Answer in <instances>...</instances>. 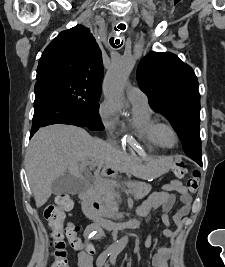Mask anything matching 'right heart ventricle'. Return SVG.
<instances>
[{
	"label": "right heart ventricle",
	"mask_w": 225,
	"mask_h": 267,
	"mask_svg": "<svg viewBox=\"0 0 225 267\" xmlns=\"http://www.w3.org/2000/svg\"><path fill=\"white\" fill-rule=\"evenodd\" d=\"M130 102L131 108L126 115L128 127L147 143L161 147L156 134L158 120L153 114L147 100L130 99Z\"/></svg>",
	"instance_id": "1"
}]
</instances>
